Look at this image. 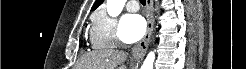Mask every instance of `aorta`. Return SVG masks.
Masks as SVG:
<instances>
[{
    "label": "aorta",
    "mask_w": 246,
    "mask_h": 69,
    "mask_svg": "<svg viewBox=\"0 0 246 69\" xmlns=\"http://www.w3.org/2000/svg\"><path fill=\"white\" fill-rule=\"evenodd\" d=\"M125 2L126 0H107L106 3L107 13L111 17L118 16L122 11ZM154 61H155V54L154 52L151 51L147 55L146 59L144 60L141 69H153Z\"/></svg>",
    "instance_id": "1"
}]
</instances>
